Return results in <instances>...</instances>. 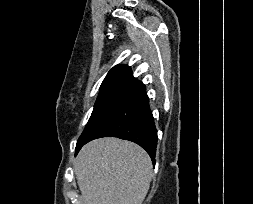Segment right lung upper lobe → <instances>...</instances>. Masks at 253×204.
I'll return each mask as SVG.
<instances>
[{
    "instance_id": "right-lung-upper-lobe-1",
    "label": "right lung upper lobe",
    "mask_w": 253,
    "mask_h": 204,
    "mask_svg": "<svg viewBox=\"0 0 253 204\" xmlns=\"http://www.w3.org/2000/svg\"><path fill=\"white\" fill-rule=\"evenodd\" d=\"M123 82H136L141 83L137 79H135L132 75L131 68L124 65H117L113 67L105 77L102 86L115 84V83H123Z\"/></svg>"
}]
</instances>
